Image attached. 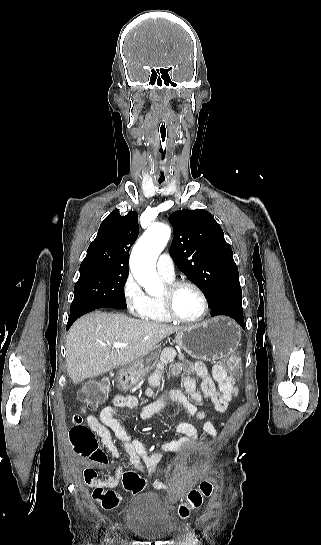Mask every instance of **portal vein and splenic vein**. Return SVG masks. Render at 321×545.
Returning <instances> with one entry per match:
<instances>
[{
	"label": "portal vein and splenic vein",
	"instance_id": "obj_1",
	"mask_svg": "<svg viewBox=\"0 0 321 545\" xmlns=\"http://www.w3.org/2000/svg\"><path fill=\"white\" fill-rule=\"evenodd\" d=\"M107 345H110V343H107ZM112 347L114 349H123V347H128V345L126 343H113Z\"/></svg>",
	"mask_w": 321,
	"mask_h": 545
}]
</instances>
